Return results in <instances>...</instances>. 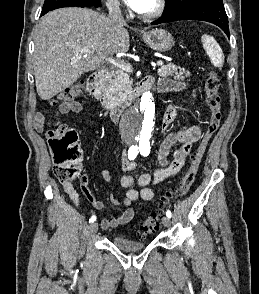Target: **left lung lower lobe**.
I'll use <instances>...</instances> for the list:
<instances>
[{
    "label": "left lung lower lobe",
    "instance_id": "obj_1",
    "mask_svg": "<svg viewBox=\"0 0 259 294\" xmlns=\"http://www.w3.org/2000/svg\"><path fill=\"white\" fill-rule=\"evenodd\" d=\"M178 20H202L219 26L230 38L228 17L223 5L214 3H201L182 11L169 15H163L158 20L152 22V25L178 21Z\"/></svg>",
    "mask_w": 259,
    "mask_h": 294
}]
</instances>
